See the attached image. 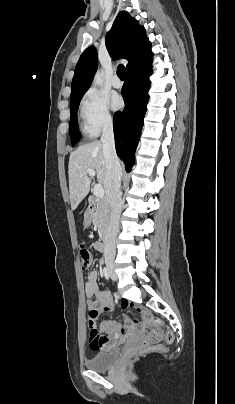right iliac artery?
<instances>
[{
  "mask_svg": "<svg viewBox=\"0 0 235 404\" xmlns=\"http://www.w3.org/2000/svg\"><path fill=\"white\" fill-rule=\"evenodd\" d=\"M103 273H104L105 278L108 280L109 277H110V274H109V271H108V269L106 267H104Z\"/></svg>",
  "mask_w": 235,
  "mask_h": 404,
  "instance_id": "right-iliac-artery-1",
  "label": "right iliac artery"
}]
</instances>
